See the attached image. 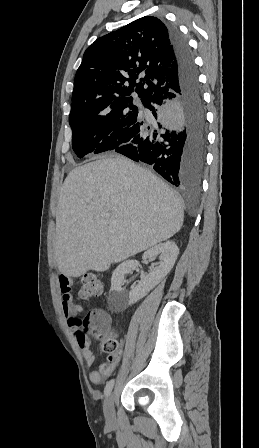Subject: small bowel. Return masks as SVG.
Segmentation results:
<instances>
[{"instance_id":"small-bowel-1","label":"small bowel","mask_w":259,"mask_h":448,"mask_svg":"<svg viewBox=\"0 0 259 448\" xmlns=\"http://www.w3.org/2000/svg\"><path fill=\"white\" fill-rule=\"evenodd\" d=\"M58 281L62 291V307L67 318L68 325L78 332L80 327V320L78 316L82 313L83 308L80 304L74 302L72 294V279L61 275L59 276ZM77 340L81 348L85 364L88 367L93 366L95 363V355L91 349L89 339H80L77 335ZM120 358L121 355H109L107 361L98 370L90 373L89 378L91 382L95 384L103 383L114 373L119 364Z\"/></svg>"}]
</instances>
